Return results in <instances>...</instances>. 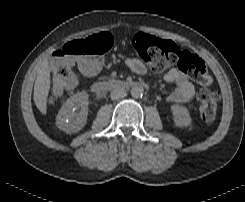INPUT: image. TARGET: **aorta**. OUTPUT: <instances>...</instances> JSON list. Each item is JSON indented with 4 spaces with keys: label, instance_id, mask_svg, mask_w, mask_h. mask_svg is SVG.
<instances>
[{
    "label": "aorta",
    "instance_id": "aorta-1",
    "mask_svg": "<svg viewBox=\"0 0 245 202\" xmlns=\"http://www.w3.org/2000/svg\"><path fill=\"white\" fill-rule=\"evenodd\" d=\"M144 90L140 86H135L131 89V95L133 98H141L143 96Z\"/></svg>",
    "mask_w": 245,
    "mask_h": 202
}]
</instances>
